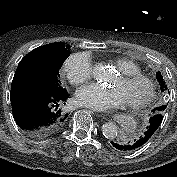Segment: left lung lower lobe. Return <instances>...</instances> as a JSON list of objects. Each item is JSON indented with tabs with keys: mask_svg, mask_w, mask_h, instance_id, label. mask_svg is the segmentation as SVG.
<instances>
[{
	"mask_svg": "<svg viewBox=\"0 0 177 177\" xmlns=\"http://www.w3.org/2000/svg\"><path fill=\"white\" fill-rule=\"evenodd\" d=\"M163 116L161 111V106L157 107L153 110V115L150 117L149 124L147 126L146 131L139 138L135 140H127L124 141L115 140L111 142L113 147L120 151L129 152L143 146L155 133L162 122Z\"/></svg>",
	"mask_w": 177,
	"mask_h": 177,
	"instance_id": "1",
	"label": "left lung lower lobe"
}]
</instances>
